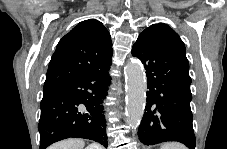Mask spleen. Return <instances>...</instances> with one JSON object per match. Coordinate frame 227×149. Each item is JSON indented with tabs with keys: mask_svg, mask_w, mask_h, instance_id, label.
<instances>
[{
	"mask_svg": "<svg viewBox=\"0 0 227 149\" xmlns=\"http://www.w3.org/2000/svg\"><path fill=\"white\" fill-rule=\"evenodd\" d=\"M160 149H186V147L180 143H164Z\"/></svg>",
	"mask_w": 227,
	"mask_h": 149,
	"instance_id": "3e777b00",
	"label": "spleen"
}]
</instances>
